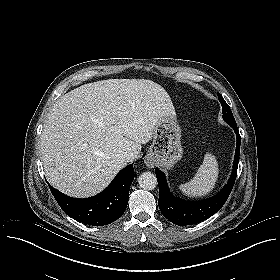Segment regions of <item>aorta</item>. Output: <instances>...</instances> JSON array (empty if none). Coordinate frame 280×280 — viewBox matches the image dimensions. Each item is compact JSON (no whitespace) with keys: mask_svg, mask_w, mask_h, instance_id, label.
Returning a JSON list of instances; mask_svg holds the SVG:
<instances>
[{"mask_svg":"<svg viewBox=\"0 0 280 280\" xmlns=\"http://www.w3.org/2000/svg\"><path fill=\"white\" fill-rule=\"evenodd\" d=\"M138 183L144 190H153L157 186V178L151 172H144L139 176Z\"/></svg>","mask_w":280,"mask_h":280,"instance_id":"762f6f07","label":"aorta"}]
</instances>
